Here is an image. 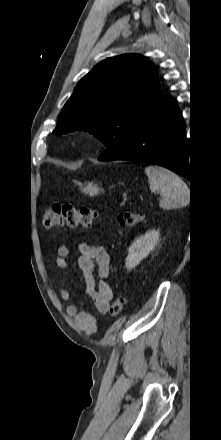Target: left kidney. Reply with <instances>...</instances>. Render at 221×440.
I'll list each match as a JSON object with an SVG mask.
<instances>
[{"label": "left kidney", "mask_w": 221, "mask_h": 440, "mask_svg": "<svg viewBox=\"0 0 221 440\" xmlns=\"http://www.w3.org/2000/svg\"><path fill=\"white\" fill-rule=\"evenodd\" d=\"M159 235L158 230L148 231L131 244L125 262L127 269L135 268L142 259L149 255L157 244Z\"/></svg>", "instance_id": "obj_1"}]
</instances>
